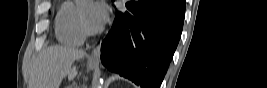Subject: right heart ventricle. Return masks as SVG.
I'll return each instance as SVG.
<instances>
[{"mask_svg":"<svg viewBox=\"0 0 267 88\" xmlns=\"http://www.w3.org/2000/svg\"><path fill=\"white\" fill-rule=\"evenodd\" d=\"M78 14L79 8L74 2L66 1L61 5L56 23V35L61 43L79 46L83 42L84 35Z\"/></svg>","mask_w":267,"mask_h":88,"instance_id":"obj_1","label":"right heart ventricle"}]
</instances>
